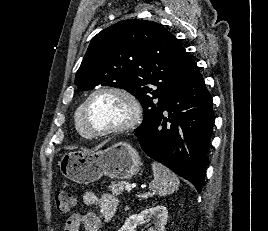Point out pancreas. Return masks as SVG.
Returning a JSON list of instances; mask_svg holds the SVG:
<instances>
[{"mask_svg": "<svg viewBox=\"0 0 268 231\" xmlns=\"http://www.w3.org/2000/svg\"><path fill=\"white\" fill-rule=\"evenodd\" d=\"M125 186L126 185L122 182L119 183L112 182L111 185L109 186V189L113 194L120 195L123 193Z\"/></svg>", "mask_w": 268, "mask_h": 231, "instance_id": "obj_1", "label": "pancreas"}]
</instances>
